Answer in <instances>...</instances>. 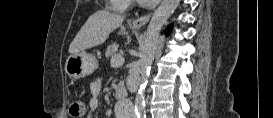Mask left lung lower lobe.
Here are the masks:
<instances>
[{
  "instance_id": "obj_1",
  "label": "left lung lower lobe",
  "mask_w": 273,
  "mask_h": 118,
  "mask_svg": "<svg viewBox=\"0 0 273 118\" xmlns=\"http://www.w3.org/2000/svg\"><path fill=\"white\" fill-rule=\"evenodd\" d=\"M170 30H171V26H169L168 28H167V30H166V35H168L169 34V32H170Z\"/></svg>"
}]
</instances>
